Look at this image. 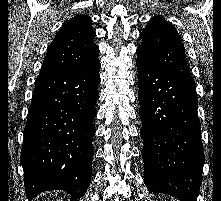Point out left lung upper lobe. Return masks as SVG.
<instances>
[{
  "label": "left lung upper lobe",
  "instance_id": "obj_1",
  "mask_svg": "<svg viewBox=\"0 0 221 201\" xmlns=\"http://www.w3.org/2000/svg\"><path fill=\"white\" fill-rule=\"evenodd\" d=\"M140 38L142 43L137 48V59L154 68L192 78L179 34L162 18H151Z\"/></svg>",
  "mask_w": 221,
  "mask_h": 201
}]
</instances>
